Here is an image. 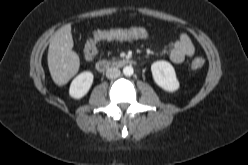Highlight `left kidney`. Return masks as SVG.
I'll use <instances>...</instances> for the list:
<instances>
[{"label":"left kidney","mask_w":248,"mask_h":165,"mask_svg":"<svg viewBox=\"0 0 248 165\" xmlns=\"http://www.w3.org/2000/svg\"><path fill=\"white\" fill-rule=\"evenodd\" d=\"M154 82L163 90L174 92L179 89L174 67L167 61H156L151 65Z\"/></svg>","instance_id":"obj_1"}]
</instances>
